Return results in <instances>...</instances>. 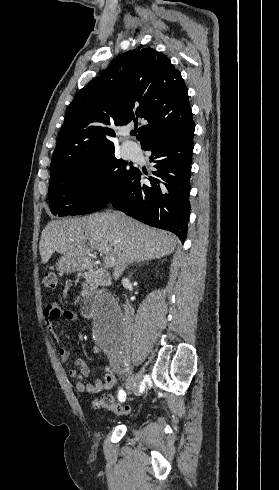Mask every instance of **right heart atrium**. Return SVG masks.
I'll use <instances>...</instances> for the list:
<instances>
[{"label":"right heart atrium","mask_w":279,"mask_h":490,"mask_svg":"<svg viewBox=\"0 0 279 490\" xmlns=\"http://www.w3.org/2000/svg\"><path fill=\"white\" fill-rule=\"evenodd\" d=\"M104 186V176L100 175L92 182L90 186L91 196L93 200H98L101 197Z\"/></svg>","instance_id":"obj_1"}]
</instances>
